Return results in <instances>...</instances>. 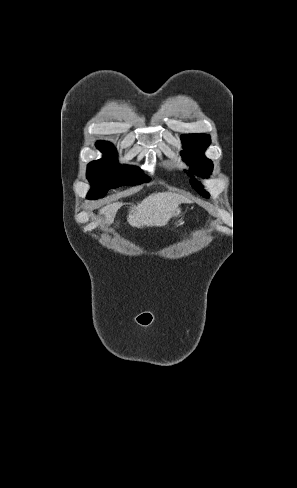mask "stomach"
<instances>
[{
	"instance_id": "obj_1",
	"label": "stomach",
	"mask_w": 297,
	"mask_h": 488,
	"mask_svg": "<svg viewBox=\"0 0 297 488\" xmlns=\"http://www.w3.org/2000/svg\"><path fill=\"white\" fill-rule=\"evenodd\" d=\"M182 214V210L181 208H177L173 213H172V216L171 218H177L178 216H180Z\"/></svg>"
}]
</instances>
